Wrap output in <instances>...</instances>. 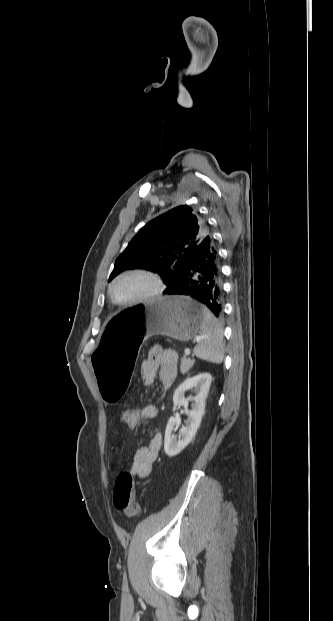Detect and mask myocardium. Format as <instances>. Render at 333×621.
Wrapping results in <instances>:
<instances>
[{
    "instance_id": "myocardium-1",
    "label": "myocardium",
    "mask_w": 333,
    "mask_h": 621,
    "mask_svg": "<svg viewBox=\"0 0 333 621\" xmlns=\"http://www.w3.org/2000/svg\"><path fill=\"white\" fill-rule=\"evenodd\" d=\"M133 275H137V276H144L148 279H150L153 283V288L150 292H148L147 294L137 298V299H133V300H129V301H119L115 298L114 294H113V286L114 284L126 277V276H133ZM164 291V284L163 281L161 279V277L154 271L149 270V269H145V268H131V269H127L121 273H119L117 276H115L111 282L109 283L108 286V294L109 297L111 299V301L119 306H134L137 304H141V303H145V302H149L151 300H154L156 298H158L159 296H161V294Z\"/></svg>"
}]
</instances>
